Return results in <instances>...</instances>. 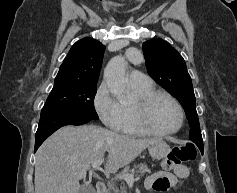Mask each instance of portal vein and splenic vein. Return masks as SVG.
<instances>
[{
  "instance_id": "18ae733b",
  "label": "portal vein and splenic vein",
  "mask_w": 237,
  "mask_h": 193,
  "mask_svg": "<svg viewBox=\"0 0 237 193\" xmlns=\"http://www.w3.org/2000/svg\"><path fill=\"white\" fill-rule=\"evenodd\" d=\"M103 159L97 160L94 163H92V168L93 169H98L99 166L103 163ZM117 178H119L120 180H125L128 183H134V176L133 174L130 173H126V174H121L119 176H117Z\"/></svg>"
}]
</instances>
